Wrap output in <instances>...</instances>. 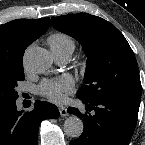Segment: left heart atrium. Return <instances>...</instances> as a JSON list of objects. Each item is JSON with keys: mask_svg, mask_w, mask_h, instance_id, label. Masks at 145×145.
Here are the masks:
<instances>
[{"mask_svg": "<svg viewBox=\"0 0 145 145\" xmlns=\"http://www.w3.org/2000/svg\"><path fill=\"white\" fill-rule=\"evenodd\" d=\"M74 80L69 76H62L54 80H44L37 88L38 93L55 102H61L64 94L74 88Z\"/></svg>", "mask_w": 145, "mask_h": 145, "instance_id": "1", "label": "left heart atrium"}]
</instances>
